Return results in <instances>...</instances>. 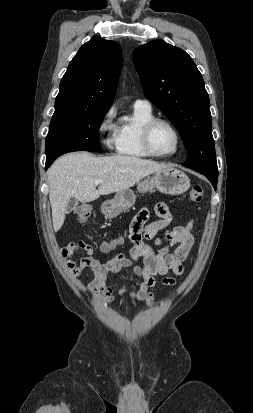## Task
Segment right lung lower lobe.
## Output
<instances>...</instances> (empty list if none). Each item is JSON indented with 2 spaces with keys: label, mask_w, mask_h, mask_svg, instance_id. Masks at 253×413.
I'll use <instances>...</instances> for the list:
<instances>
[{
  "label": "right lung lower lobe",
  "mask_w": 253,
  "mask_h": 413,
  "mask_svg": "<svg viewBox=\"0 0 253 413\" xmlns=\"http://www.w3.org/2000/svg\"><path fill=\"white\" fill-rule=\"evenodd\" d=\"M54 160L46 161L45 169H47Z\"/></svg>",
  "instance_id": "1"
}]
</instances>
